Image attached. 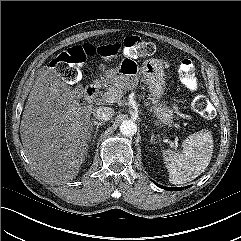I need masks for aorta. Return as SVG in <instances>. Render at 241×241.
<instances>
[{"instance_id":"obj_1","label":"aorta","mask_w":241,"mask_h":241,"mask_svg":"<svg viewBox=\"0 0 241 241\" xmlns=\"http://www.w3.org/2000/svg\"><path fill=\"white\" fill-rule=\"evenodd\" d=\"M120 132L125 136H133L137 132V125L131 120H125L120 125Z\"/></svg>"}]
</instances>
